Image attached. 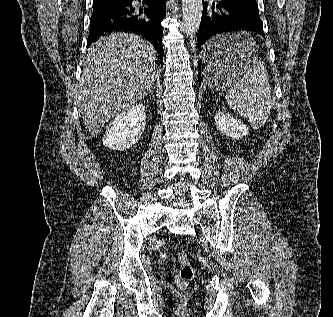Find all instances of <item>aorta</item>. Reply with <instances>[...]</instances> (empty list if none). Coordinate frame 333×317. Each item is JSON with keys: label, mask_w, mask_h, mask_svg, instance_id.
I'll use <instances>...</instances> for the list:
<instances>
[{"label": "aorta", "mask_w": 333, "mask_h": 317, "mask_svg": "<svg viewBox=\"0 0 333 317\" xmlns=\"http://www.w3.org/2000/svg\"><path fill=\"white\" fill-rule=\"evenodd\" d=\"M184 30L188 34H195L201 22L202 0H182Z\"/></svg>", "instance_id": "obj_1"}]
</instances>
